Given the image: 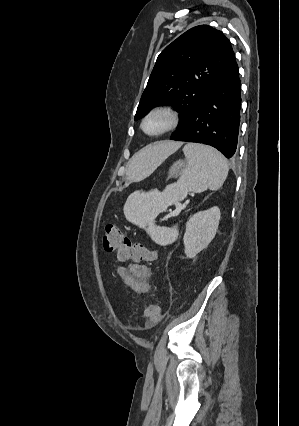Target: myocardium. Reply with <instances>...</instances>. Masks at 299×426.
<instances>
[{
  "label": "myocardium",
  "instance_id": "obj_1",
  "mask_svg": "<svg viewBox=\"0 0 299 426\" xmlns=\"http://www.w3.org/2000/svg\"><path fill=\"white\" fill-rule=\"evenodd\" d=\"M155 115L166 116L167 119H168V123L159 132L149 133L145 130V124L151 117H153ZM179 121H180L179 113L177 112V110L175 108H173L172 106H169V105H158V106L151 108L144 115V117L142 118L141 124H140V128H141L142 132L149 137H159V136L165 135V134L173 131L174 129H176V127L179 124Z\"/></svg>",
  "mask_w": 299,
  "mask_h": 426
}]
</instances>
